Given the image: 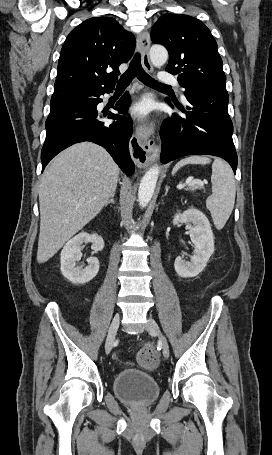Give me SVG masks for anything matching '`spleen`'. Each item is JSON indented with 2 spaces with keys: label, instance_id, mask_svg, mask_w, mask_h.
Wrapping results in <instances>:
<instances>
[{
  "label": "spleen",
  "instance_id": "obj_1",
  "mask_svg": "<svg viewBox=\"0 0 272 455\" xmlns=\"http://www.w3.org/2000/svg\"><path fill=\"white\" fill-rule=\"evenodd\" d=\"M209 157L190 156L180 160L173 168L172 173L187 164H208ZM212 195L206 200L214 225L222 229L229 219L235 203L236 186L233 172L230 166L222 159L216 158L212 163Z\"/></svg>",
  "mask_w": 272,
  "mask_h": 455
}]
</instances>
